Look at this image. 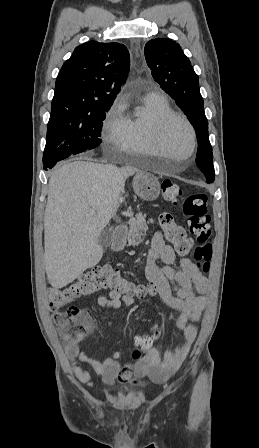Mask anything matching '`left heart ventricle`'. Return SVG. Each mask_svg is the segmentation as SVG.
<instances>
[{
	"instance_id": "b2bd125f",
	"label": "left heart ventricle",
	"mask_w": 259,
	"mask_h": 448,
	"mask_svg": "<svg viewBox=\"0 0 259 448\" xmlns=\"http://www.w3.org/2000/svg\"><path fill=\"white\" fill-rule=\"evenodd\" d=\"M166 149L147 150L146 154L163 158L167 162H187L191 154V135L181 121H173L164 136Z\"/></svg>"
}]
</instances>
